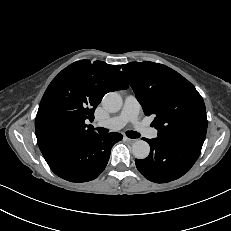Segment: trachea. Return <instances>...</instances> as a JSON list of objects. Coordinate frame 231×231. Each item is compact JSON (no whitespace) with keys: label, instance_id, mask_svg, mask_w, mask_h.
I'll return each instance as SVG.
<instances>
[{"label":"trachea","instance_id":"3493384b","mask_svg":"<svg viewBox=\"0 0 231 231\" xmlns=\"http://www.w3.org/2000/svg\"><path fill=\"white\" fill-rule=\"evenodd\" d=\"M97 131H98L100 134H107V133H108V129L103 128V127H98V128H97ZM126 135H127V137L132 138V139H134V138H139V137H140V134L137 133V132H135V131H127V132H126Z\"/></svg>","mask_w":231,"mask_h":231}]
</instances>
